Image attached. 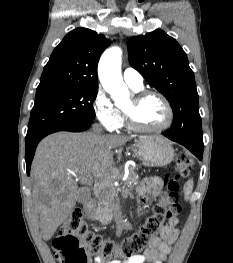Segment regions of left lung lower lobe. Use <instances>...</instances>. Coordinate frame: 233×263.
<instances>
[{
	"instance_id": "1",
	"label": "left lung lower lobe",
	"mask_w": 233,
	"mask_h": 263,
	"mask_svg": "<svg viewBox=\"0 0 233 263\" xmlns=\"http://www.w3.org/2000/svg\"><path fill=\"white\" fill-rule=\"evenodd\" d=\"M164 136H166L167 138L171 139L172 141H175L177 143L182 144L183 146H185L187 149H189L195 156L198 157L199 160H202V156H203V148L181 141L175 137L169 136L167 133H164Z\"/></svg>"
}]
</instances>
